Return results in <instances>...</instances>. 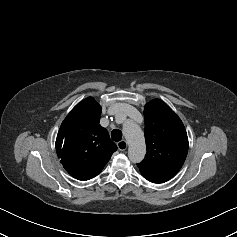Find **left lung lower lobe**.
<instances>
[{
  "label": "left lung lower lobe",
  "mask_w": 237,
  "mask_h": 237,
  "mask_svg": "<svg viewBox=\"0 0 237 237\" xmlns=\"http://www.w3.org/2000/svg\"><path fill=\"white\" fill-rule=\"evenodd\" d=\"M142 175L144 176L145 179H147L150 182H153V183H164V181L158 180V179L150 177L148 175H145V174H142Z\"/></svg>",
  "instance_id": "0a47b994"
}]
</instances>
